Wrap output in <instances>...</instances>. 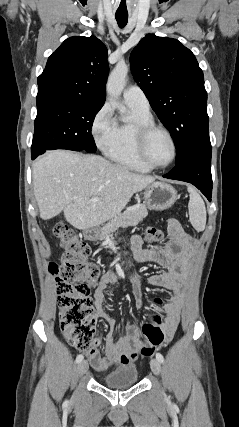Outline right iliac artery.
Returning <instances> with one entry per match:
<instances>
[{
    "instance_id": "82829eb1",
    "label": "right iliac artery",
    "mask_w": 239,
    "mask_h": 427,
    "mask_svg": "<svg viewBox=\"0 0 239 427\" xmlns=\"http://www.w3.org/2000/svg\"><path fill=\"white\" fill-rule=\"evenodd\" d=\"M82 360H83V355H82V354H80V355H78V356H77V358H76V363H80ZM65 405H67V401L65 402Z\"/></svg>"
}]
</instances>
